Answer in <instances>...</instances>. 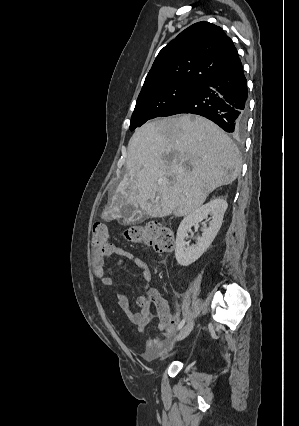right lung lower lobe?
Returning <instances> with one entry per match:
<instances>
[{
	"mask_svg": "<svg viewBox=\"0 0 299 426\" xmlns=\"http://www.w3.org/2000/svg\"><path fill=\"white\" fill-rule=\"evenodd\" d=\"M247 96V81L238 58L163 116L198 114L212 120L226 132L241 134L247 119Z\"/></svg>",
	"mask_w": 299,
	"mask_h": 426,
	"instance_id": "1",
	"label": "right lung lower lobe"
}]
</instances>
